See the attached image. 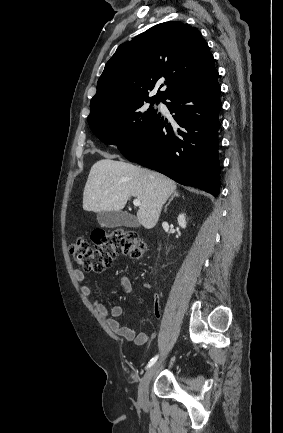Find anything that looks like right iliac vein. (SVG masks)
<instances>
[{
  "label": "right iliac vein",
  "instance_id": "obj_1",
  "mask_svg": "<svg viewBox=\"0 0 283 433\" xmlns=\"http://www.w3.org/2000/svg\"><path fill=\"white\" fill-rule=\"evenodd\" d=\"M159 363L160 361L149 367L140 382L138 389V401L141 406H147L148 404L149 384Z\"/></svg>",
  "mask_w": 283,
  "mask_h": 433
}]
</instances>
